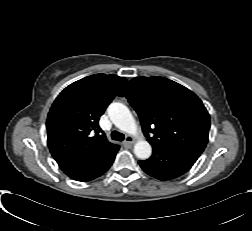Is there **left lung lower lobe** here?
Returning <instances> with one entry per match:
<instances>
[{"label":"left lung lower lobe","instance_id":"obj_1","mask_svg":"<svg viewBox=\"0 0 252 231\" xmlns=\"http://www.w3.org/2000/svg\"><path fill=\"white\" fill-rule=\"evenodd\" d=\"M200 155L201 152L186 147L154 145L151 158L139 164L148 175L169 180L187 172Z\"/></svg>","mask_w":252,"mask_h":231}]
</instances>
